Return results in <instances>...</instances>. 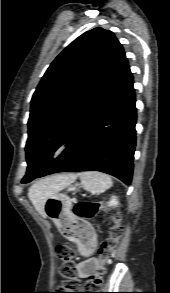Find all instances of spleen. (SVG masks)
Returning a JSON list of instances; mask_svg holds the SVG:
<instances>
[{
  "label": "spleen",
  "mask_w": 170,
  "mask_h": 293,
  "mask_svg": "<svg viewBox=\"0 0 170 293\" xmlns=\"http://www.w3.org/2000/svg\"><path fill=\"white\" fill-rule=\"evenodd\" d=\"M79 176L83 188L91 194H101L112 186L111 178L101 172L87 171Z\"/></svg>",
  "instance_id": "obj_1"
}]
</instances>
